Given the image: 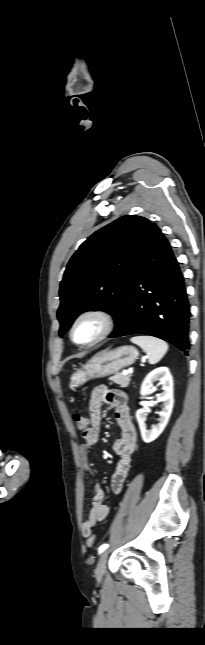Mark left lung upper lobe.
Listing matches in <instances>:
<instances>
[{
	"label": "left lung upper lobe",
	"mask_w": 205,
	"mask_h": 645,
	"mask_svg": "<svg viewBox=\"0 0 205 645\" xmlns=\"http://www.w3.org/2000/svg\"><path fill=\"white\" fill-rule=\"evenodd\" d=\"M149 225L144 217L123 216L81 244L60 284V336L87 310H104L113 316L117 327L129 270Z\"/></svg>",
	"instance_id": "left-lung-upper-lobe-1"
}]
</instances>
